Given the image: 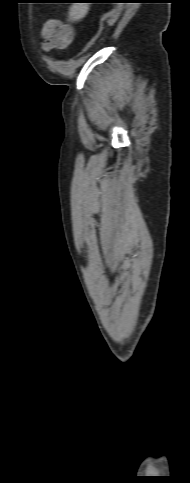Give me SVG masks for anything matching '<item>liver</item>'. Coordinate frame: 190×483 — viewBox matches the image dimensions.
Returning a JSON list of instances; mask_svg holds the SVG:
<instances>
[{"mask_svg":"<svg viewBox=\"0 0 190 483\" xmlns=\"http://www.w3.org/2000/svg\"><path fill=\"white\" fill-rule=\"evenodd\" d=\"M88 10V3H73V5L69 8L68 12L69 20L79 21L86 16Z\"/></svg>","mask_w":190,"mask_h":483,"instance_id":"1","label":"liver"}]
</instances>
